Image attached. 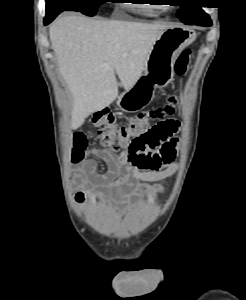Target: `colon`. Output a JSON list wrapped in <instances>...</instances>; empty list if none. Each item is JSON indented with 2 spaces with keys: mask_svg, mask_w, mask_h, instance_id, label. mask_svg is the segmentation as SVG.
<instances>
[{
  "mask_svg": "<svg viewBox=\"0 0 246 300\" xmlns=\"http://www.w3.org/2000/svg\"><path fill=\"white\" fill-rule=\"evenodd\" d=\"M190 54V51L185 50L179 55L174 65L176 74L184 75L187 72ZM178 104L179 98L172 96L164 106L143 111L121 126L116 122L115 112L101 110L92 116L91 124L97 130L102 145L115 149L125 147L141 155L138 162L142 167L154 168L162 162L156 152L172 140L179 129V122L164 120L176 112ZM153 121L159 122L150 125ZM86 145L85 136L77 133L74 136V163L82 160Z\"/></svg>",
  "mask_w": 246,
  "mask_h": 300,
  "instance_id": "obj_1",
  "label": "colon"
}]
</instances>
